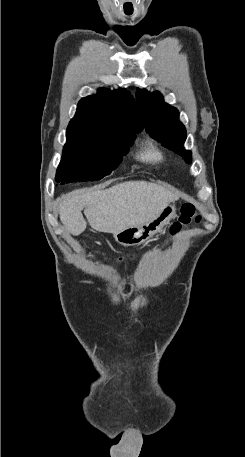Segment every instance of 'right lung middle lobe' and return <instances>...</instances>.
<instances>
[{
    "mask_svg": "<svg viewBox=\"0 0 245 457\" xmlns=\"http://www.w3.org/2000/svg\"><path fill=\"white\" fill-rule=\"evenodd\" d=\"M140 130L133 126L70 122L56 181L103 178L120 164Z\"/></svg>",
    "mask_w": 245,
    "mask_h": 457,
    "instance_id": "right-lung-middle-lobe-1",
    "label": "right lung middle lobe"
}]
</instances>
